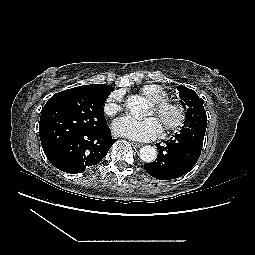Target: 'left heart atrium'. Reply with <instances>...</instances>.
Listing matches in <instances>:
<instances>
[{"mask_svg":"<svg viewBox=\"0 0 255 255\" xmlns=\"http://www.w3.org/2000/svg\"><path fill=\"white\" fill-rule=\"evenodd\" d=\"M112 128L115 134L137 141L153 140L162 132L161 123L155 117L137 120L130 116H124L115 120Z\"/></svg>","mask_w":255,"mask_h":255,"instance_id":"1","label":"left heart atrium"}]
</instances>
